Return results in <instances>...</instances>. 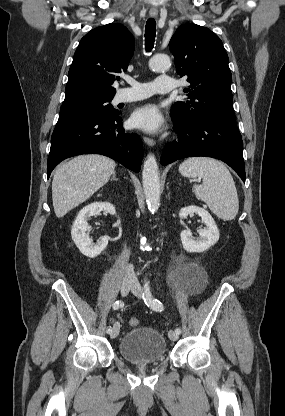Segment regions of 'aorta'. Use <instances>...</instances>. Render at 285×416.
<instances>
[{
  "instance_id": "1",
  "label": "aorta",
  "mask_w": 285,
  "mask_h": 416,
  "mask_svg": "<svg viewBox=\"0 0 285 416\" xmlns=\"http://www.w3.org/2000/svg\"><path fill=\"white\" fill-rule=\"evenodd\" d=\"M171 66L168 55L158 54L149 61V67L154 72H165ZM142 183L149 210L154 213L160 205V179L158 164L153 154H149L143 165Z\"/></svg>"
}]
</instances>
